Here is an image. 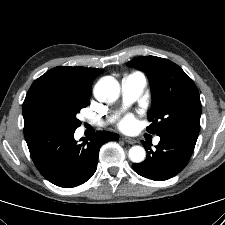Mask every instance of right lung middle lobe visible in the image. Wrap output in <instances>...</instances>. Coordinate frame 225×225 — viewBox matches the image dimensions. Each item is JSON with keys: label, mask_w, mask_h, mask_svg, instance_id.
I'll use <instances>...</instances> for the list:
<instances>
[{"label": "right lung middle lobe", "mask_w": 225, "mask_h": 225, "mask_svg": "<svg viewBox=\"0 0 225 225\" xmlns=\"http://www.w3.org/2000/svg\"><path fill=\"white\" fill-rule=\"evenodd\" d=\"M90 90L67 82H51L28 91L23 103L24 126L50 125L75 130L76 115L88 105Z\"/></svg>", "instance_id": "right-lung-middle-lobe-1"}]
</instances>
